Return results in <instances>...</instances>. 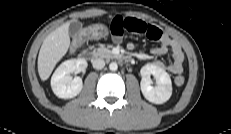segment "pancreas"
Returning <instances> with one entry per match:
<instances>
[{"mask_svg": "<svg viewBox=\"0 0 231 134\" xmlns=\"http://www.w3.org/2000/svg\"><path fill=\"white\" fill-rule=\"evenodd\" d=\"M95 56H99V57H102V58H107V59H111V58H114L116 57L111 50H109L108 48L104 47V46H100L95 54Z\"/></svg>", "mask_w": 231, "mask_h": 134, "instance_id": "obj_1", "label": "pancreas"}]
</instances>
